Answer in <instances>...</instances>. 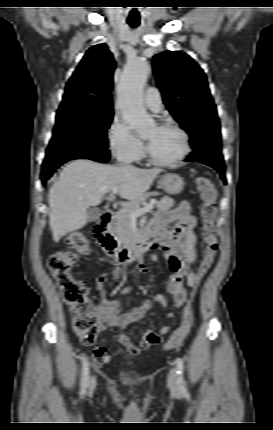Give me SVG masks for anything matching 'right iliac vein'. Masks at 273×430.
Returning <instances> with one entry per match:
<instances>
[{
    "label": "right iliac vein",
    "instance_id": "1",
    "mask_svg": "<svg viewBox=\"0 0 273 430\" xmlns=\"http://www.w3.org/2000/svg\"><path fill=\"white\" fill-rule=\"evenodd\" d=\"M96 385V380L93 376L90 377L89 379V389L90 391H93Z\"/></svg>",
    "mask_w": 273,
    "mask_h": 430
}]
</instances>
